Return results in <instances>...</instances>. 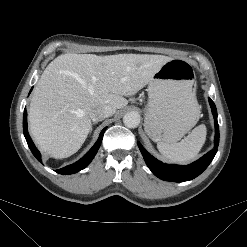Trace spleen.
I'll list each match as a JSON object with an SVG mask.
<instances>
[{
	"instance_id": "obj_1",
	"label": "spleen",
	"mask_w": 247,
	"mask_h": 247,
	"mask_svg": "<svg viewBox=\"0 0 247 247\" xmlns=\"http://www.w3.org/2000/svg\"><path fill=\"white\" fill-rule=\"evenodd\" d=\"M196 110H199L196 98H193ZM206 126L199 125L192 132L178 143L158 142L157 148L164 158L178 163H188L194 160L206 140Z\"/></svg>"
}]
</instances>
